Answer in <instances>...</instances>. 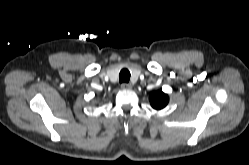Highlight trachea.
Listing matches in <instances>:
<instances>
[{"instance_id":"3493384b","label":"trachea","mask_w":249,"mask_h":165,"mask_svg":"<svg viewBox=\"0 0 249 165\" xmlns=\"http://www.w3.org/2000/svg\"><path fill=\"white\" fill-rule=\"evenodd\" d=\"M130 80V72L127 69H122L119 74L120 83H128Z\"/></svg>"}]
</instances>
